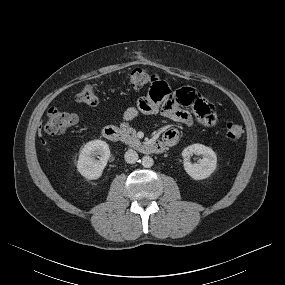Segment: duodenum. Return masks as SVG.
<instances>
[{"label":"duodenum","mask_w":285,"mask_h":285,"mask_svg":"<svg viewBox=\"0 0 285 285\" xmlns=\"http://www.w3.org/2000/svg\"><path fill=\"white\" fill-rule=\"evenodd\" d=\"M103 136L111 142L122 141V133L120 129L113 125H108L103 128ZM169 145L162 140H155L147 143L142 147V152L145 154H159L166 150Z\"/></svg>","instance_id":"410a0bca"}]
</instances>
